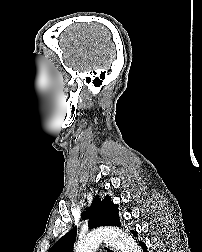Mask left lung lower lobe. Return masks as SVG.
Listing matches in <instances>:
<instances>
[{
	"mask_svg": "<svg viewBox=\"0 0 202 252\" xmlns=\"http://www.w3.org/2000/svg\"><path fill=\"white\" fill-rule=\"evenodd\" d=\"M131 233L136 237L137 236V232L136 231H131ZM140 243V246L142 247L143 249V252H147V247H146V244L144 242H141L139 241Z\"/></svg>",
	"mask_w": 202,
	"mask_h": 252,
	"instance_id": "obj_1",
	"label": "left lung lower lobe"
}]
</instances>
